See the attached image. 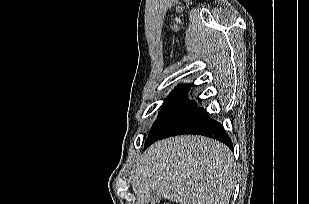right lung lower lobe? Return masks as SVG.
I'll return each instance as SVG.
<instances>
[{"mask_svg": "<svg viewBox=\"0 0 309 204\" xmlns=\"http://www.w3.org/2000/svg\"><path fill=\"white\" fill-rule=\"evenodd\" d=\"M181 134L204 135L217 139L226 144L229 148L233 149V144L227 133L224 131L222 125L217 121L210 119L206 110L203 108L192 109L152 143L157 140Z\"/></svg>", "mask_w": 309, "mask_h": 204, "instance_id": "98d812e1", "label": "right lung lower lobe"}]
</instances>
